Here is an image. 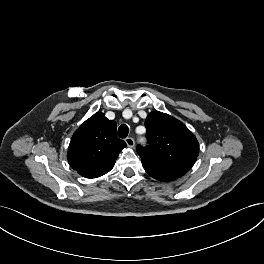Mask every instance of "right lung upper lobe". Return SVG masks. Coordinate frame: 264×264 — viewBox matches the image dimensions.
<instances>
[{"label": "right lung upper lobe", "mask_w": 264, "mask_h": 264, "mask_svg": "<svg viewBox=\"0 0 264 264\" xmlns=\"http://www.w3.org/2000/svg\"><path fill=\"white\" fill-rule=\"evenodd\" d=\"M116 122L98 112L73 134L68 162L81 176L97 178L109 172L126 143L116 135Z\"/></svg>", "instance_id": "right-lung-upper-lobe-1"}]
</instances>
